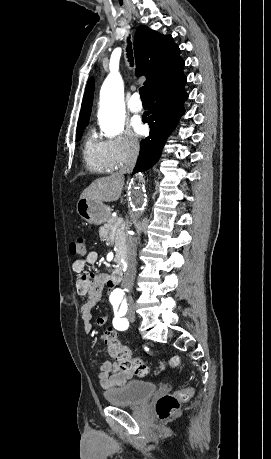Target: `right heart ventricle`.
I'll return each instance as SVG.
<instances>
[{
	"mask_svg": "<svg viewBox=\"0 0 271 459\" xmlns=\"http://www.w3.org/2000/svg\"><path fill=\"white\" fill-rule=\"evenodd\" d=\"M83 162L93 172H109L114 169L104 142H98L92 132H88L83 145Z\"/></svg>",
	"mask_w": 271,
	"mask_h": 459,
	"instance_id": "right-heart-ventricle-1",
	"label": "right heart ventricle"
}]
</instances>
